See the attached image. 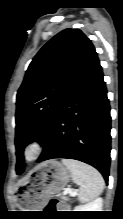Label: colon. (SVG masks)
Returning a JSON list of instances; mask_svg holds the SVG:
<instances>
[{"label":"colon","instance_id":"1","mask_svg":"<svg viewBox=\"0 0 123 219\" xmlns=\"http://www.w3.org/2000/svg\"><path fill=\"white\" fill-rule=\"evenodd\" d=\"M47 208L49 210H55V209H68V205L65 204L64 202L58 200V199H55V198H52L50 199L48 205H47Z\"/></svg>","mask_w":123,"mask_h":219}]
</instances>
